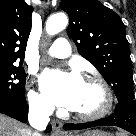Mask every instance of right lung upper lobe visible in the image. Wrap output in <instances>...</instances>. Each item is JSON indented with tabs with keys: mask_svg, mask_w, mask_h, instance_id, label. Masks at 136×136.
<instances>
[{
	"mask_svg": "<svg viewBox=\"0 0 136 136\" xmlns=\"http://www.w3.org/2000/svg\"><path fill=\"white\" fill-rule=\"evenodd\" d=\"M31 16L32 7L24 0H0V64H22Z\"/></svg>",
	"mask_w": 136,
	"mask_h": 136,
	"instance_id": "obj_1",
	"label": "right lung upper lobe"
}]
</instances>
